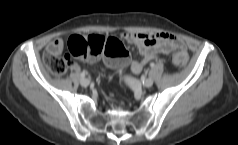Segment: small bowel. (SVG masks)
I'll use <instances>...</instances> for the list:
<instances>
[{
	"label": "small bowel",
	"mask_w": 238,
	"mask_h": 145,
	"mask_svg": "<svg viewBox=\"0 0 238 145\" xmlns=\"http://www.w3.org/2000/svg\"><path fill=\"white\" fill-rule=\"evenodd\" d=\"M123 38L135 45L139 53L143 56L142 60H132L130 63L131 70L134 74L142 72L145 64L153 59H157L161 54H169L171 51L179 49L181 52L186 53L184 43L181 39L172 34H123ZM47 50L53 54L58 55L62 50V41L55 39L49 43ZM86 62H94V57L90 59L83 58Z\"/></svg>",
	"instance_id": "obj_1"
}]
</instances>
